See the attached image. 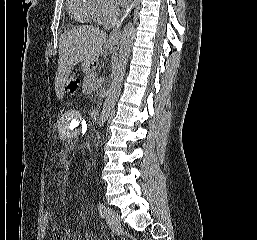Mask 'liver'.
<instances>
[{
  "mask_svg": "<svg viewBox=\"0 0 257 240\" xmlns=\"http://www.w3.org/2000/svg\"><path fill=\"white\" fill-rule=\"evenodd\" d=\"M105 41V33L93 26H80L60 36L55 79V90L59 99L63 98V89L73 67L81 62L92 64L96 61Z\"/></svg>",
  "mask_w": 257,
  "mask_h": 240,
  "instance_id": "liver-1",
  "label": "liver"
}]
</instances>
